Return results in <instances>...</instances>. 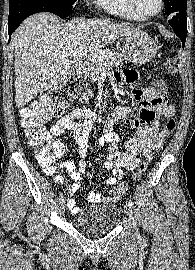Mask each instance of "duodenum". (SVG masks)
Wrapping results in <instances>:
<instances>
[{
	"label": "duodenum",
	"mask_w": 195,
	"mask_h": 270,
	"mask_svg": "<svg viewBox=\"0 0 195 270\" xmlns=\"http://www.w3.org/2000/svg\"><path fill=\"white\" fill-rule=\"evenodd\" d=\"M83 70H84L83 66L80 65V66L78 67V74L81 75V74L83 73Z\"/></svg>",
	"instance_id": "duodenum-1"
}]
</instances>
